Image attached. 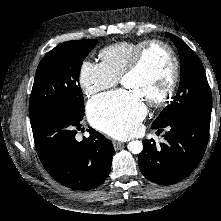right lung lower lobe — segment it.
<instances>
[{
	"mask_svg": "<svg viewBox=\"0 0 221 221\" xmlns=\"http://www.w3.org/2000/svg\"><path fill=\"white\" fill-rule=\"evenodd\" d=\"M71 113L51 111L31 119L38 156L47 172L73 190H90L107 178L114 154L110 140L92 128L78 142L80 121Z\"/></svg>",
	"mask_w": 221,
	"mask_h": 221,
	"instance_id": "1",
	"label": "right lung lower lobe"
}]
</instances>
